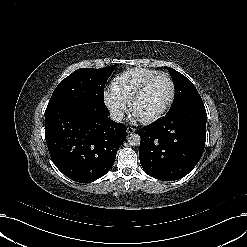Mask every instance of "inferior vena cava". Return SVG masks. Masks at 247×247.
<instances>
[{"mask_svg": "<svg viewBox=\"0 0 247 247\" xmlns=\"http://www.w3.org/2000/svg\"><path fill=\"white\" fill-rule=\"evenodd\" d=\"M123 117H124V113L121 110L111 109L109 111V118L115 122L122 121Z\"/></svg>", "mask_w": 247, "mask_h": 247, "instance_id": "obj_1", "label": "inferior vena cava"}]
</instances>
